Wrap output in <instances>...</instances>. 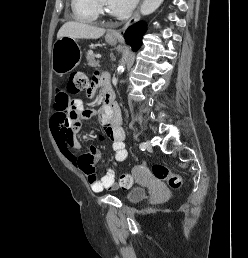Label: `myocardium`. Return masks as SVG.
Instances as JSON below:
<instances>
[{"instance_id": "myocardium-1", "label": "myocardium", "mask_w": 248, "mask_h": 258, "mask_svg": "<svg viewBox=\"0 0 248 258\" xmlns=\"http://www.w3.org/2000/svg\"><path fill=\"white\" fill-rule=\"evenodd\" d=\"M96 6H97L98 14H101L103 16L107 15L105 4H104L103 0H96Z\"/></svg>"}]
</instances>
